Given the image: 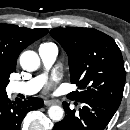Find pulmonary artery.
Here are the masks:
<instances>
[{"label": "pulmonary artery", "mask_w": 130, "mask_h": 130, "mask_svg": "<svg viewBox=\"0 0 130 130\" xmlns=\"http://www.w3.org/2000/svg\"><path fill=\"white\" fill-rule=\"evenodd\" d=\"M57 48L55 45L40 46L39 55L45 68H50L57 58ZM45 75L36 76L28 81L23 82H11L8 85V89L11 93L33 95L37 93L45 83Z\"/></svg>", "instance_id": "e3ab8cb5"}]
</instances>
